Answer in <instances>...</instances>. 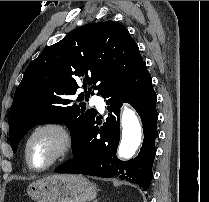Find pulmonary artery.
Wrapping results in <instances>:
<instances>
[{
    "mask_svg": "<svg viewBox=\"0 0 209 202\" xmlns=\"http://www.w3.org/2000/svg\"><path fill=\"white\" fill-rule=\"evenodd\" d=\"M89 104L91 106H95L99 112L104 111V107H105L104 101L101 97H99L97 95H94V96L91 97V99L89 101Z\"/></svg>",
    "mask_w": 209,
    "mask_h": 202,
    "instance_id": "pulmonary-artery-1",
    "label": "pulmonary artery"
}]
</instances>
